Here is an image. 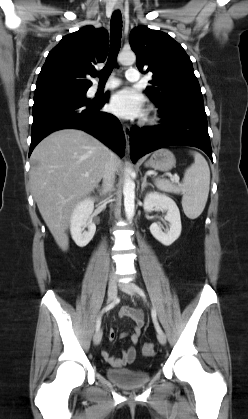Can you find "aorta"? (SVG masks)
<instances>
[{
  "label": "aorta",
  "instance_id": "aorta-1",
  "mask_svg": "<svg viewBox=\"0 0 248 419\" xmlns=\"http://www.w3.org/2000/svg\"><path fill=\"white\" fill-rule=\"evenodd\" d=\"M118 61L122 65H132L136 61V56L132 51H122L118 55ZM130 174L131 170L127 169L123 184L124 207L128 220H132L135 210V183Z\"/></svg>",
  "mask_w": 248,
  "mask_h": 419
}]
</instances>
